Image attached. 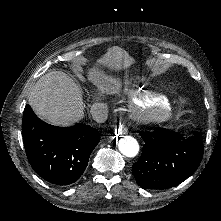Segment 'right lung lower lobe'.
I'll use <instances>...</instances> for the list:
<instances>
[{"label": "right lung lower lobe", "instance_id": "obj_1", "mask_svg": "<svg viewBox=\"0 0 221 221\" xmlns=\"http://www.w3.org/2000/svg\"><path fill=\"white\" fill-rule=\"evenodd\" d=\"M22 136L27 158L34 171L55 185L77 181L87 167L100 134L85 124L56 127L39 119L26 105Z\"/></svg>", "mask_w": 221, "mask_h": 221}]
</instances>
